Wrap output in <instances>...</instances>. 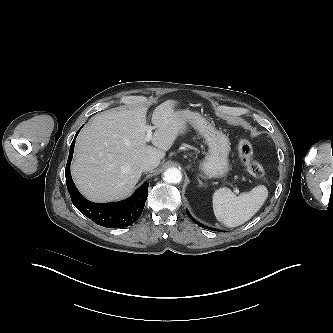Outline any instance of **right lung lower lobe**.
Wrapping results in <instances>:
<instances>
[{"label":"right lung lower lobe","mask_w":333,"mask_h":333,"mask_svg":"<svg viewBox=\"0 0 333 333\" xmlns=\"http://www.w3.org/2000/svg\"><path fill=\"white\" fill-rule=\"evenodd\" d=\"M70 147L69 157L65 168L66 184L74 206L95 223L109 228H122L133 224L140 217L146 198L149 183H144L128 199L114 203H93L85 198L76 189L70 174V163L73 156L75 139Z\"/></svg>","instance_id":"98d812e1"}]
</instances>
